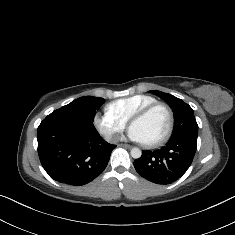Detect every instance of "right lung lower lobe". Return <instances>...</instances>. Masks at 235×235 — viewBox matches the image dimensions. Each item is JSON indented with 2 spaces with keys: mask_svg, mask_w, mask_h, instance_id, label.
Wrapping results in <instances>:
<instances>
[{
  "mask_svg": "<svg viewBox=\"0 0 235 235\" xmlns=\"http://www.w3.org/2000/svg\"><path fill=\"white\" fill-rule=\"evenodd\" d=\"M38 154L48 175L61 183L81 186L106 168L111 151L93 122L54 111L39 125Z\"/></svg>",
  "mask_w": 235,
  "mask_h": 235,
  "instance_id": "right-lung-lower-lobe-1",
  "label": "right lung lower lobe"
}]
</instances>
